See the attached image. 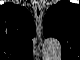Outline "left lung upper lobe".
<instances>
[{
  "label": "left lung upper lobe",
  "mask_w": 80,
  "mask_h": 60,
  "mask_svg": "<svg viewBox=\"0 0 80 60\" xmlns=\"http://www.w3.org/2000/svg\"><path fill=\"white\" fill-rule=\"evenodd\" d=\"M76 10L74 4L60 1L56 5H53L44 17V36L56 37L61 42L63 54L77 49L80 42L79 33L73 25L74 17L77 15Z\"/></svg>",
  "instance_id": "obj_1"
}]
</instances>
